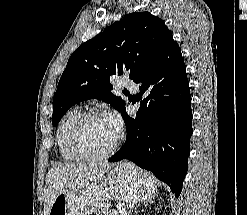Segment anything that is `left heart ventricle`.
<instances>
[{
	"label": "left heart ventricle",
	"instance_id": "1",
	"mask_svg": "<svg viewBox=\"0 0 247 215\" xmlns=\"http://www.w3.org/2000/svg\"><path fill=\"white\" fill-rule=\"evenodd\" d=\"M116 138V133L104 118L90 121L84 127V143L94 153H101L109 149Z\"/></svg>",
	"mask_w": 247,
	"mask_h": 215
}]
</instances>
